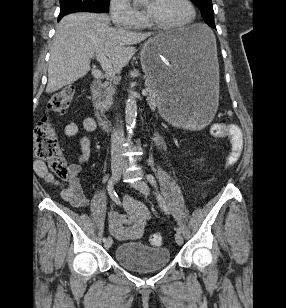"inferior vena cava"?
<instances>
[{"mask_svg": "<svg viewBox=\"0 0 286 308\" xmlns=\"http://www.w3.org/2000/svg\"><path fill=\"white\" fill-rule=\"evenodd\" d=\"M124 133L122 127L117 126L111 134V152L114 159H118L117 150L122 146Z\"/></svg>", "mask_w": 286, "mask_h": 308, "instance_id": "1", "label": "inferior vena cava"}]
</instances>
